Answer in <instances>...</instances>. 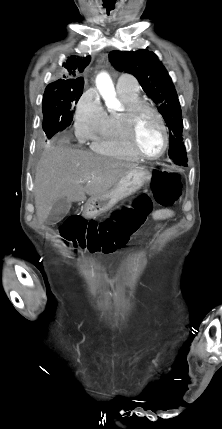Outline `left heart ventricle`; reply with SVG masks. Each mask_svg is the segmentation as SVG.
I'll list each match as a JSON object with an SVG mask.
<instances>
[{
	"label": "left heart ventricle",
	"instance_id": "left-heart-ventricle-1",
	"mask_svg": "<svg viewBox=\"0 0 222 429\" xmlns=\"http://www.w3.org/2000/svg\"><path fill=\"white\" fill-rule=\"evenodd\" d=\"M137 143L140 149L148 155L158 154L164 144L159 122L150 112H143L137 124Z\"/></svg>",
	"mask_w": 222,
	"mask_h": 429
}]
</instances>
